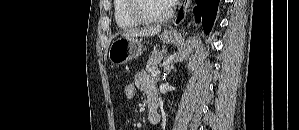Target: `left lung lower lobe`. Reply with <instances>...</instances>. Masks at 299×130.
<instances>
[{
  "label": "left lung lower lobe",
  "instance_id": "1",
  "mask_svg": "<svg viewBox=\"0 0 299 130\" xmlns=\"http://www.w3.org/2000/svg\"><path fill=\"white\" fill-rule=\"evenodd\" d=\"M197 7L195 8L196 20L199 22L202 17V25L204 32L209 34L218 8L219 0H195Z\"/></svg>",
  "mask_w": 299,
  "mask_h": 130
}]
</instances>
